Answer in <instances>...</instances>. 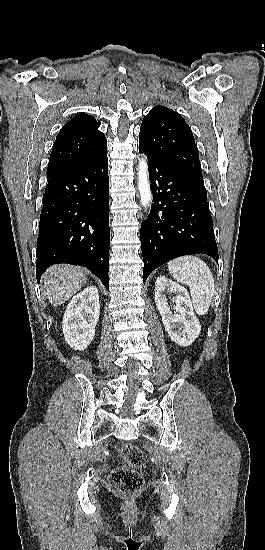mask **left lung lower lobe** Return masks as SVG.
Wrapping results in <instances>:
<instances>
[{"instance_id": "1", "label": "left lung lower lobe", "mask_w": 265, "mask_h": 550, "mask_svg": "<svg viewBox=\"0 0 265 550\" xmlns=\"http://www.w3.org/2000/svg\"><path fill=\"white\" fill-rule=\"evenodd\" d=\"M153 204L141 224L143 282L160 265L183 255L207 254L218 263L212 217L203 183L146 153Z\"/></svg>"}]
</instances>
